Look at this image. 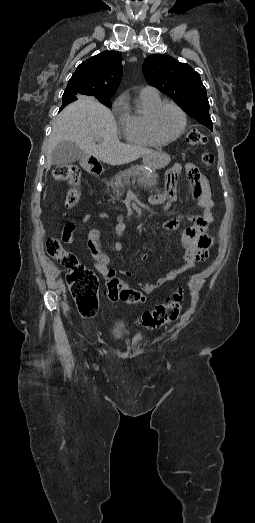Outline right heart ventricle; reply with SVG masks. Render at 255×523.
Listing matches in <instances>:
<instances>
[{"instance_id": "1", "label": "right heart ventricle", "mask_w": 255, "mask_h": 523, "mask_svg": "<svg viewBox=\"0 0 255 523\" xmlns=\"http://www.w3.org/2000/svg\"><path fill=\"white\" fill-rule=\"evenodd\" d=\"M161 102L159 93L141 91L134 106L126 105L118 115V126L125 142L136 146L158 144L147 129V117L150 110Z\"/></svg>"}]
</instances>
